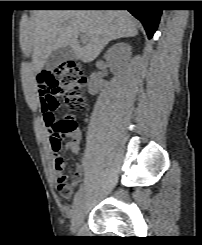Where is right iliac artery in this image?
Returning <instances> with one entry per match:
<instances>
[{
    "mask_svg": "<svg viewBox=\"0 0 202 245\" xmlns=\"http://www.w3.org/2000/svg\"><path fill=\"white\" fill-rule=\"evenodd\" d=\"M82 196H83V189H79L75 193V196H74V199H73V206L74 207H76L81 202Z\"/></svg>",
    "mask_w": 202,
    "mask_h": 245,
    "instance_id": "82829eb1",
    "label": "right iliac artery"
}]
</instances>
